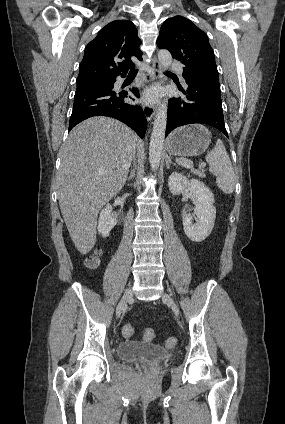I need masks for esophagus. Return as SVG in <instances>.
Wrapping results in <instances>:
<instances>
[{"mask_svg":"<svg viewBox=\"0 0 285 424\" xmlns=\"http://www.w3.org/2000/svg\"><path fill=\"white\" fill-rule=\"evenodd\" d=\"M151 68L152 74H150L149 81L159 79L161 77V66L156 59H153ZM142 108L147 120L151 121L155 116L156 108L154 106L149 105L148 103H143Z\"/></svg>","mask_w":285,"mask_h":424,"instance_id":"obj_1","label":"esophagus"}]
</instances>
